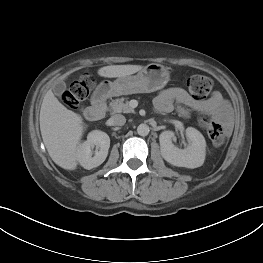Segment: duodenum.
Segmentation results:
<instances>
[{
	"instance_id": "duodenum-1",
	"label": "duodenum",
	"mask_w": 263,
	"mask_h": 263,
	"mask_svg": "<svg viewBox=\"0 0 263 263\" xmlns=\"http://www.w3.org/2000/svg\"><path fill=\"white\" fill-rule=\"evenodd\" d=\"M108 90L100 87L96 90L92 98V104L85 110V117L89 121H98L106 114V100Z\"/></svg>"
}]
</instances>
